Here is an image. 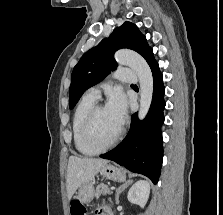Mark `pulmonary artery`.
Returning a JSON list of instances; mask_svg holds the SVG:
<instances>
[{"instance_id":"pulmonary-artery-1","label":"pulmonary artery","mask_w":223,"mask_h":215,"mask_svg":"<svg viewBox=\"0 0 223 215\" xmlns=\"http://www.w3.org/2000/svg\"><path fill=\"white\" fill-rule=\"evenodd\" d=\"M115 78L121 80L122 83L138 81L137 73H133V69H123V66H120V76H115ZM85 96L97 101L100 98V90L98 88H91L86 92Z\"/></svg>"}]
</instances>
